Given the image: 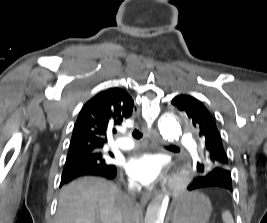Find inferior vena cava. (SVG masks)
<instances>
[{
    "label": "inferior vena cava",
    "instance_id": "obj_1",
    "mask_svg": "<svg viewBox=\"0 0 267 223\" xmlns=\"http://www.w3.org/2000/svg\"><path fill=\"white\" fill-rule=\"evenodd\" d=\"M141 186L137 183H132L128 187V194L125 195V210L123 213V223H134V194L136 191H139Z\"/></svg>",
    "mask_w": 267,
    "mask_h": 223
}]
</instances>
